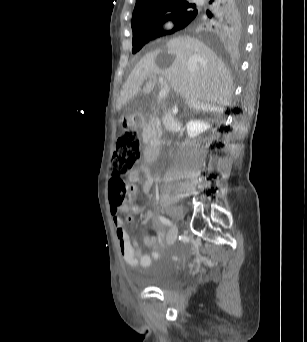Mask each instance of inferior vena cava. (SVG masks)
Listing matches in <instances>:
<instances>
[{"mask_svg": "<svg viewBox=\"0 0 307 342\" xmlns=\"http://www.w3.org/2000/svg\"><path fill=\"white\" fill-rule=\"evenodd\" d=\"M166 130H170V128H174L176 122L172 116V112H166L163 120H162Z\"/></svg>", "mask_w": 307, "mask_h": 342, "instance_id": "602c4592", "label": "inferior vena cava"}]
</instances>
